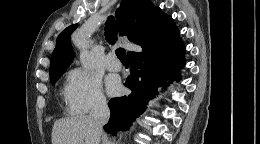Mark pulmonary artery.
<instances>
[{
  "instance_id": "1",
  "label": "pulmonary artery",
  "mask_w": 260,
  "mask_h": 144,
  "mask_svg": "<svg viewBox=\"0 0 260 144\" xmlns=\"http://www.w3.org/2000/svg\"><path fill=\"white\" fill-rule=\"evenodd\" d=\"M106 67L111 71H120L122 68L121 63L114 54H109L106 57Z\"/></svg>"
}]
</instances>
